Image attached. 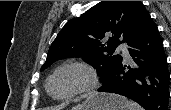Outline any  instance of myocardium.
<instances>
[{
	"label": "myocardium",
	"instance_id": "f54148a6",
	"mask_svg": "<svg viewBox=\"0 0 171 110\" xmlns=\"http://www.w3.org/2000/svg\"><path fill=\"white\" fill-rule=\"evenodd\" d=\"M67 69L81 70L86 75V81L85 83L75 88L65 96L62 97L54 96L50 91V83L58 73ZM99 86H100V78L97 71L91 65L83 61H68L59 65L57 68L54 69V71L48 77L45 84V88L49 96L57 101H67L77 96L92 94L99 88Z\"/></svg>",
	"mask_w": 171,
	"mask_h": 110
}]
</instances>
